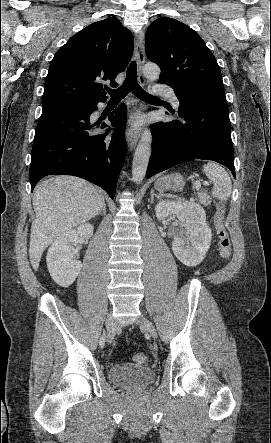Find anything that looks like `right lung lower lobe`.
Here are the masks:
<instances>
[{
    "label": "right lung lower lobe",
    "mask_w": 271,
    "mask_h": 443,
    "mask_svg": "<svg viewBox=\"0 0 271 443\" xmlns=\"http://www.w3.org/2000/svg\"><path fill=\"white\" fill-rule=\"evenodd\" d=\"M100 101L42 111L31 153L32 191L43 177L65 174L84 178L114 198L125 158L127 110L121 105L109 115L116 130L111 138L106 137L107 133L94 135L96 124H90L89 116ZM105 127V123L101 124V128Z\"/></svg>",
    "instance_id": "right-lung-lower-lobe-1"
}]
</instances>
